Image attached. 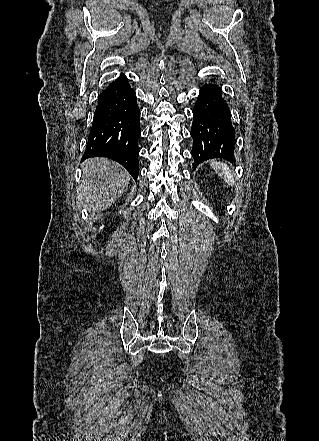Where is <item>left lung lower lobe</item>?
<instances>
[{
  "label": "left lung lower lobe",
  "instance_id": "0a47b994",
  "mask_svg": "<svg viewBox=\"0 0 319 441\" xmlns=\"http://www.w3.org/2000/svg\"><path fill=\"white\" fill-rule=\"evenodd\" d=\"M190 133L193 138V169L208 159L233 161L235 129L229 106L217 86L205 84L200 89Z\"/></svg>",
  "mask_w": 319,
  "mask_h": 441
}]
</instances>
